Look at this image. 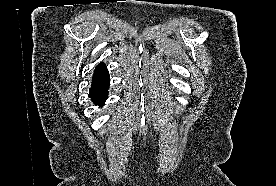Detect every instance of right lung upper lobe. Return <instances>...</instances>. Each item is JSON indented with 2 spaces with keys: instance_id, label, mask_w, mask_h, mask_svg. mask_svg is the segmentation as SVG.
<instances>
[{
  "instance_id": "cb5924a9",
  "label": "right lung upper lobe",
  "mask_w": 276,
  "mask_h": 186,
  "mask_svg": "<svg viewBox=\"0 0 276 186\" xmlns=\"http://www.w3.org/2000/svg\"><path fill=\"white\" fill-rule=\"evenodd\" d=\"M108 77L107 68L104 64L98 65L94 72L93 81L102 80Z\"/></svg>"
}]
</instances>
